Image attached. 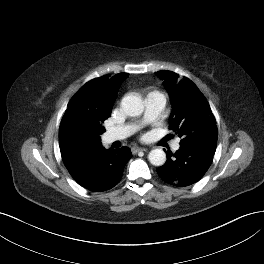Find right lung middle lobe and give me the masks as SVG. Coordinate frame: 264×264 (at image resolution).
<instances>
[{"instance_id":"1","label":"right lung middle lobe","mask_w":264,"mask_h":264,"mask_svg":"<svg viewBox=\"0 0 264 264\" xmlns=\"http://www.w3.org/2000/svg\"><path fill=\"white\" fill-rule=\"evenodd\" d=\"M102 123H97L94 128L91 130L90 133H81L78 132L73 141H88V140H99L100 135L105 132L104 127L102 126Z\"/></svg>"}]
</instances>
